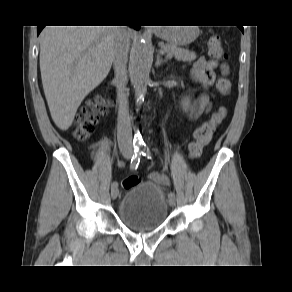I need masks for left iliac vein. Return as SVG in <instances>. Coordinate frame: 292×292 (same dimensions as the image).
Masks as SVG:
<instances>
[{"mask_svg":"<svg viewBox=\"0 0 292 292\" xmlns=\"http://www.w3.org/2000/svg\"><path fill=\"white\" fill-rule=\"evenodd\" d=\"M169 205L171 207L175 206V198H169Z\"/></svg>","mask_w":292,"mask_h":292,"instance_id":"obj_1","label":"left iliac vein"}]
</instances>
